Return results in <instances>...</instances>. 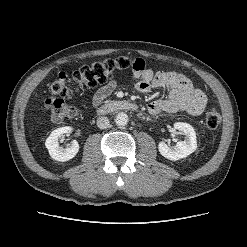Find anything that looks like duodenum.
<instances>
[{
	"label": "duodenum",
	"mask_w": 247,
	"mask_h": 247,
	"mask_svg": "<svg viewBox=\"0 0 247 247\" xmlns=\"http://www.w3.org/2000/svg\"><path fill=\"white\" fill-rule=\"evenodd\" d=\"M138 105L131 101L116 100L107 102L97 109V113L100 115L109 114L116 111H136Z\"/></svg>",
	"instance_id": "obj_1"
}]
</instances>
